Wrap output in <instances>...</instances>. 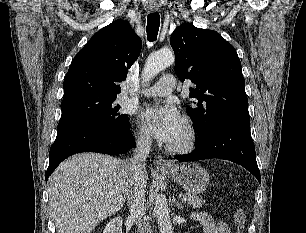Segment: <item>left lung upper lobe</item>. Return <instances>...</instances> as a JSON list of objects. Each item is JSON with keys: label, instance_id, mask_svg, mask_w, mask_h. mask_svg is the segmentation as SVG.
Segmentation results:
<instances>
[{"label": "left lung upper lobe", "instance_id": "1", "mask_svg": "<svg viewBox=\"0 0 306 233\" xmlns=\"http://www.w3.org/2000/svg\"><path fill=\"white\" fill-rule=\"evenodd\" d=\"M170 44L176 56L175 72L190 79L193 107L187 113L201 135L226 123H250L241 62L235 48L219 33L184 23L175 29Z\"/></svg>", "mask_w": 306, "mask_h": 233}]
</instances>
